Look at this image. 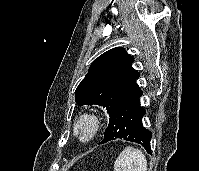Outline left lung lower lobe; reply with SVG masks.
Here are the masks:
<instances>
[{"label":"left lung lower lobe","mask_w":199,"mask_h":171,"mask_svg":"<svg viewBox=\"0 0 199 171\" xmlns=\"http://www.w3.org/2000/svg\"><path fill=\"white\" fill-rule=\"evenodd\" d=\"M143 91L137 89L130 94L110 115L109 125L105 131L104 139L100 144H104L115 139H124L141 144L151 153L150 140L151 132L143 127L142 118L145 109L140 106V97Z\"/></svg>","instance_id":"1"}]
</instances>
